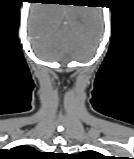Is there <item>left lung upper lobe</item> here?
<instances>
[{
    "mask_svg": "<svg viewBox=\"0 0 134 159\" xmlns=\"http://www.w3.org/2000/svg\"><path fill=\"white\" fill-rule=\"evenodd\" d=\"M74 159H105L104 156L96 151H84L74 156Z\"/></svg>",
    "mask_w": 134,
    "mask_h": 159,
    "instance_id": "left-lung-upper-lobe-1",
    "label": "left lung upper lobe"
}]
</instances>
